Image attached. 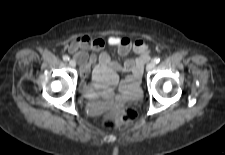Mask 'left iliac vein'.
Listing matches in <instances>:
<instances>
[{"mask_svg": "<svg viewBox=\"0 0 225 155\" xmlns=\"http://www.w3.org/2000/svg\"><path fill=\"white\" fill-rule=\"evenodd\" d=\"M155 67V63L153 61L149 62L146 66V70L150 71Z\"/></svg>", "mask_w": 225, "mask_h": 155, "instance_id": "4c4485c4", "label": "left iliac vein"}]
</instances>
